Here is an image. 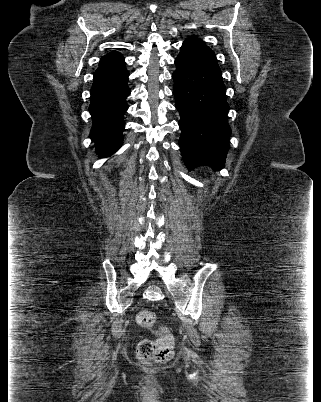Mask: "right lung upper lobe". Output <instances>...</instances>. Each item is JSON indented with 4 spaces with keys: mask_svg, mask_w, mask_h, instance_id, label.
<instances>
[{
    "mask_svg": "<svg viewBox=\"0 0 321 402\" xmlns=\"http://www.w3.org/2000/svg\"><path fill=\"white\" fill-rule=\"evenodd\" d=\"M124 64V57L118 52H110L103 56L99 65Z\"/></svg>",
    "mask_w": 321,
    "mask_h": 402,
    "instance_id": "cb5924a9",
    "label": "right lung upper lobe"
}]
</instances>
